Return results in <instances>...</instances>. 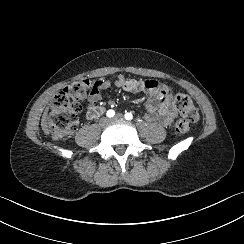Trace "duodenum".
I'll list each match as a JSON object with an SVG mask.
<instances>
[{
    "label": "duodenum",
    "instance_id": "obj_1",
    "mask_svg": "<svg viewBox=\"0 0 244 244\" xmlns=\"http://www.w3.org/2000/svg\"><path fill=\"white\" fill-rule=\"evenodd\" d=\"M101 111H102V109L97 108L96 111H95V116H96L97 114L101 113ZM95 116H94V117H95Z\"/></svg>",
    "mask_w": 244,
    "mask_h": 244
}]
</instances>
